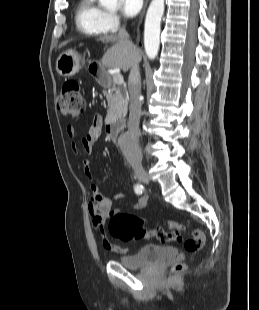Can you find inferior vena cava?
<instances>
[{"instance_id": "1", "label": "inferior vena cava", "mask_w": 259, "mask_h": 310, "mask_svg": "<svg viewBox=\"0 0 259 310\" xmlns=\"http://www.w3.org/2000/svg\"><path fill=\"white\" fill-rule=\"evenodd\" d=\"M118 37L128 45L134 47L132 42L129 40V34L127 33L125 27L119 29ZM128 87L130 94L128 131L131 136L135 137V144L131 151V162L135 165H140L142 161V154L138 145V130L141 117V77L138 61H135L131 66L128 79Z\"/></svg>"}]
</instances>
